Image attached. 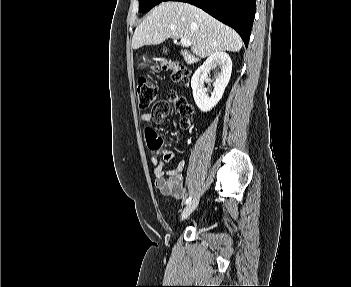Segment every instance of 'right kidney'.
Returning a JSON list of instances; mask_svg holds the SVG:
<instances>
[{"mask_svg":"<svg viewBox=\"0 0 351 287\" xmlns=\"http://www.w3.org/2000/svg\"><path fill=\"white\" fill-rule=\"evenodd\" d=\"M216 66L220 67V73L214 82V91L211 97H209L204 89V80L207 78L208 74H210V71ZM231 72V58L223 51H218L211 54L195 71L191 79V87L193 90L194 101L201 111H210L217 105L223 96L226 86L228 85Z\"/></svg>","mask_w":351,"mask_h":287,"instance_id":"ca27d5eb","label":"right kidney"}]
</instances>
